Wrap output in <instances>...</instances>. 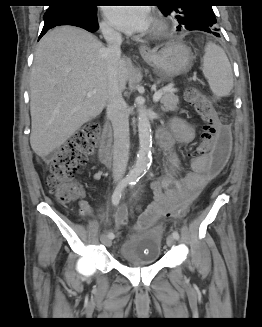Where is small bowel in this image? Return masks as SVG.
Instances as JSON below:
<instances>
[{"label":"small bowel","mask_w":262,"mask_h":327,"mask_svg":"<svg viewBox=\"0 0 262 327\" xmlns=\"http://www.w3.org/2000/svg\"><path fill=\"white\" fill-rule=\"evenodd\" d=\"M195 136V125L179 118L171 122L169 129L158 131V142L166 155V172L162 178L150 184L155 199L147 210L140 211L136 224L138 229L151 227L157 219L164 217L166 212L175 209L180 203H191L212 177L213 172L207 171V166L212 164H208V157L201 153L190 154V159L194 160L192 169L182 173L181 162L174 147L190 144ZM78 206L83 216L92 214L91 207L83 197Z\"/></svg>","instance_id":"c3829d8e"}]
</instances>
